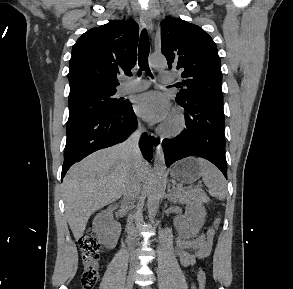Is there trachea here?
I'll use <instances>...</instances> for the list:
<instances>
[{
  "instance_id": "1",
  "label": "trachea",
  "mask_w": 293,
  "mask_h": 289,
  "mask_svg": "<svg viewBox=\"0 0 293 289\" xmlns=\"http://www.w3.org/2000/svg\"><path fill=\"white\" fill-rule=\"evenodd\" d=\"M149 51H150L149 37H148L146 29H143L140 35L139 49H138V64L140 67V70L138 73L139 76L141 75L143 69H146L148 72V75L152 76L150 69L148 67Z\"/></svg>"
}]
</instances>
